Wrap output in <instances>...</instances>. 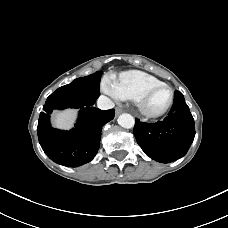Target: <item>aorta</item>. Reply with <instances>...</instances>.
<instances>
[{
    "label": "aorta",
    "mask_w": 228,
    "mask_h": 228,
    "mask_svg": "<svg viewBox=\"0 0 228 228\" xmlns=\"http://www.w3.org/2000/svg\"><path fill=\"white\" fill-rule=\"evenodd\" d=\"M118 124L123 128L130 129L134 127L135 119L132 115L123 113L118 117Z\"/></svg>",
    "instance_id": "1"
}]
</instances>
